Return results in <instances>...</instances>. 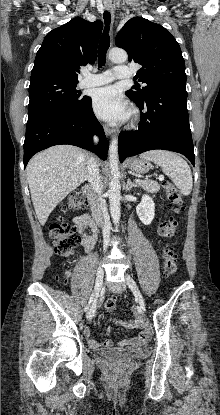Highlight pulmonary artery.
<instances>
[{"label": "pulmonary artery", "mask_w": 220, "mask_h": 415, "mask_svg": "<svg viewBox=\"0 0 220 415\" xmlns=\"http://www.w3.org/2000/svg\"><path fill=\"white\" fill-rule=\"evenodd\" d=\"M131 76V71L125 65H118L113 70L91 74L85 72L84 79L80 82L81 88L96 87L108 84L116 79H125Z\"/></svg>", "instance_id": "obj_1"}]
</instances>
